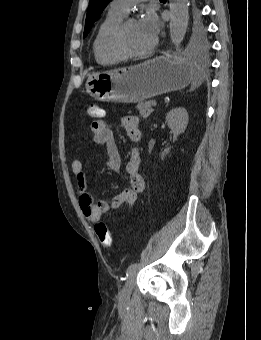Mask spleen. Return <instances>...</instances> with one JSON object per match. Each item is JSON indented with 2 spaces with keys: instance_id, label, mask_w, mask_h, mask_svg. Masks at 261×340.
Returning <instances> with one entry per match:
<instances>
[{
  "instance_id": "3e777b00",
  "label": "spleen",
  "mask_w": 261,
  "mask_h": 340,
  "mask_svg": "<svg viewBox=\"0 0 261 340\" xmlns=\"http://www.w3.org/2000/svg\"><path fill=\"white\" fill-rule=\"evenodd\" d=\"M201 83H202L201 73H200L199 70H197L196 73H195V77L193 79V82H192V87L197 88L201 85Z\"/></svg>"
}]
</instances>
